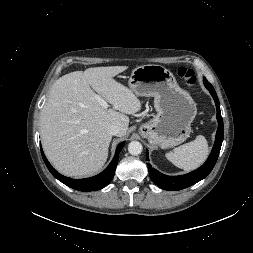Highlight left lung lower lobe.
<instances>
[{"mask_svg": "<svg viewBox=\"0 0 253 253\" xmlns=\"http://www.w3.org/2000/svg\"><path fill=\"white\" fill-rule=\"evenodd\" d=\"M204 85L212 95L217 108L218 129L213 149L206 162L200 168L185 175L167 176L152 168L151 165L148 164L151 180L164 190L178 191L194 185L195 183L204 179L211 172L217 161L224 135L223 120L220 112L219 100L213 86L206 80L204 81ZM147 160H149L148 155Z\"/></svg>", "mask_w": 253, "mask_h": 253, "instance_id": "left-lung-lower-lobe-1", "label": "left lung lower lobe"}]
</instances>
